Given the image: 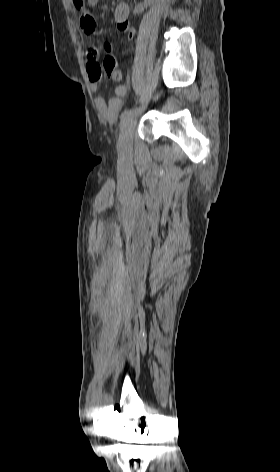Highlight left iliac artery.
<instances>
[{
    "mask_svg": "<svg viewBox=\"0 0 280 472\" xmlns=\"http://www.w3.org/2000/svg\"><path fill=\"white\" fill-rule=\"evenodd\" d=\"M139 111V108L135 107L125 111L121 116L120 129L122 130L126 123L133 118V116Z\"/></svg>",
    "mask_w": 280,
    "mask_h": 472,
    "instance_id": "left-iliac-artery-1",
    "label": "left iliac artery"
}]
</instances>
